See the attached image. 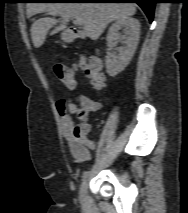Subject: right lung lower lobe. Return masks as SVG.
Returning <instances> with one entry per match:
<instances>
[{"label":"right lung lower lobe","instance_id":"1","mask_svg":"<svg viewBox=\"0 0 188 213\" xmlns=\"http://www.w3.org/2000/svg\"><path fill=\"white\" fill-rule=\"evenodd\" d=\"M100 1H109V0H100ZM114 1H130L132 3H137L143 9L145 14L149 18L150 22H152L156 0H114Z\"/></svg>","mask_w":188,"mask_h":213}]
</instances>
